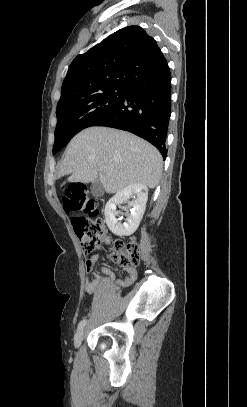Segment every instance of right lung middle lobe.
<instances>
[{
    "label": "right lung middle lobe",
    "mask_w": 247,
    "mask_h": 407,
    "mask_svg": "<svg viewBox=\"0 0 247 407\" xmlns=\"http://www.w3.org/2000/svg\"><path fill=\"white\" fill-rule=\"evenodd\" d=\"M126 94V87H110L57 107L53 153L60 151L78 132L106 117Z\"/></svg>",
    "instance_id": "1"
}]
</instances>
